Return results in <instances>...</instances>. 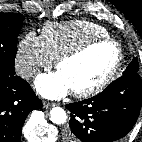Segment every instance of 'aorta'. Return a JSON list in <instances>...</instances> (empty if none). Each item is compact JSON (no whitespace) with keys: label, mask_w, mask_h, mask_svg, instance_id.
<instances>
[{"label":"aorta","mask_w":142,"mask_h":142,"mask_svg":"<svg viewBox=\"0 0 142 142\" xmlns=\"http://www.w3.org/2000/svg\"><path fill=\"white\" fill-rule=\"evenodd\" d=\"M67 119V114L65 112V110L61 107H54L51 109L50 111V120L57 124V125H61L64 124L66 122Z\"/></svg>","instance_id":"762f6f07"}]
</instances>
